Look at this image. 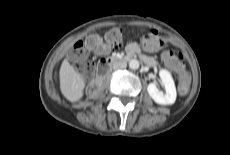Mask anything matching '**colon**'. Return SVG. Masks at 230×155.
Masks as SVG:
<instances>
[{"instance_id":"1","label":"colon","mask_w":230,"mask_h":155,"mask_svg":"<svg viewBox=\"0 0 230 155\" xmlns=\"http://www.w3.org/2000/svg\"><path fill=\"white\" fill-rule=\"evenodd\" d=\"M150 40H155L161 45L164 41L157 32H151L146 36ZM105 42L113 47L118 48L123 43L122 31L118 28L109 30L105 34ZM102 41L98 35H89L83 40L78 41L69 52L70 58L76 63L77 69L80 73L86 76H92L95 72V66L92 62L87 61V53L89 50L99 49L101 47ZM180 61L184 58L181 54H178ZM189 88V78L187 73L182 68L180 71L178 90L180 94H186Z\"/></svg>"}]
</instances>
